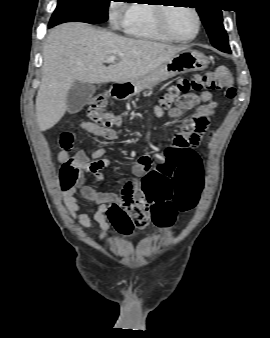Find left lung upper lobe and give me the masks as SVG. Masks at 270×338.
<instances>
[{"instance_id":"left-lung-upper-lobe-1","label":"left lung upper lobe","mask_w":270,"mask_h":338,"mask_svg":"<svg viewBox=\"0 0 270 338\" xmlns=\"http://www.w3.org/2000/svg\"><path fill=\"white\" fill-rule=\"evenodd\" d=\"M218 0H199L197 11L206 28L211 44L224 52L229 51L228 36L223 26L222 12L217 8Z\"/></svg>"}]
</instances>
